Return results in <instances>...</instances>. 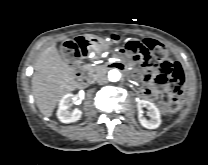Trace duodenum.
Returning <instances> with one entry per match:
<instances>
[{"label":"duodenum","mask_w":208,"mask_h":165,"mask_svg":"<svg viewBox=\"0 0 208 165\" xmlns=\"http://www.w3.org/2000/svg\"><path fill=\"white\" fill-rule=\"evenodd\" d=\"M109 67L110 66L108 64L104 66L105 69H108ZM78 78H79V83L83 86L88 85L91 82V77L87 73V69L85 66H82L80 68Z\"/></svg>","instance_id":"obj_1"}]
</instances>
